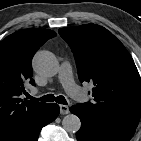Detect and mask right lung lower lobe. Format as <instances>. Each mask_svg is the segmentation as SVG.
Masks as SVG:
<instances>
[{
  "mask_svg": "<svg viewBox=\"0 0 141 141\" xmlns=\"http://www.w3.org/2000/svg\"><path fill=\"white\" fill-rule=\"evenodd\" d=\"M59 114V106L46 104L43 110L26 123L18 132L4 141H37L41 129L54 121Z\"/></svg>",
  "mask_w": 141,
  "mask_h": 141,
  "instance_id": "obj_1",
  "label": "right lung lower lobe"
}]
</instances>
